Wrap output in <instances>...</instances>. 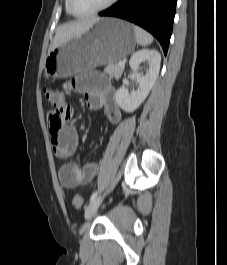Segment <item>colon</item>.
<instances>
[{
  "mask_svg": "<svg viewBox=\"0 0 227 265\" xmlns=\"http://www.w3.org/2000/svg\"><path fill=\"white\" fill-rule=\"evenodd\" d=\"M44 94L48 103L53 107L47 118L48 129L51 134H56L61 130L63 124L71 118L72 108L65 103L64 95L61 92L46 89ZM72 204L80 209L84 206V200L81 196L76 195Z\"/></svg>",
  "mask_w": 227,
  "mask_h": 265,
  "instance_id": "obj_1",
  "label": "colon"
}]
</instances>
